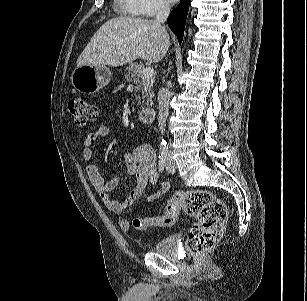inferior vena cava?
<instances>
[{
	"mask_svg": "<svg viewBox=\"0 0 307 301\" xmlns=\"http://www.w3.org/2000/svg\"><path fill=\"white\" fill-rule=\"evenodd\" d=\"M170 13V7L167 3H160L157 9L156 21L164 23ZM170 92L167 88H161L158 92L159 113L158 125L161 133L164 132L166 119L168 117Z\"/></svg>",
	"mask_w": 307,
	"mask_h": 301,
	"instance_id": "602c4592",
	"label": "inferior vena cava"
}]
</instances>
